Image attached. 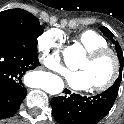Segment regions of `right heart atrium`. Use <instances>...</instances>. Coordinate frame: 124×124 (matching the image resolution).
I'll list each match as a JSON object with an SVG mask.
<instances>
[{
	"label": "right heart atrium",
	"instance_id": "d8ad5b80",
	"mask_svg": "<svg viewBox=\"0 0 124 124\" xmlns=\"http://www.w3.org/2000/svg\"><path fill=\"white\" fill-rule=\"evenodd\" d=\"M41 62L49 69L59 70L61 67V35L55 30L42 32L36 41Z\"/></svg>",
	"mask_w": 124,
	"mask_h": 124
}]
</instances>
